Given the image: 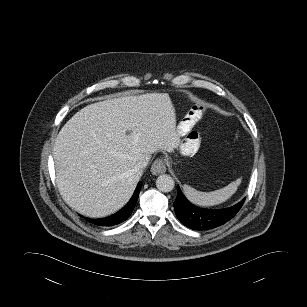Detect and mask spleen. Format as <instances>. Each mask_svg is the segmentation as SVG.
Masks as SVG:
<instances>
[{
	"label": "spleen",
	"mask_w": 307,
	"mask_h": 307,
	"mask_svg": "<svg viewBox=\"0 0 307 307\" xmlns=\"http://www.w3.org/2000/svg\"><path fill=\"white\" fill-rule=\"evenodd\" d=\"M240 182L241 179H237L224 188L212 192L197 191L194 188L185 185L184 193L186 197L196 205L213 206L226 201L230 196H232L236 192Z\"/></svg>",
	"instance_id": "1"
}]
</instances>
